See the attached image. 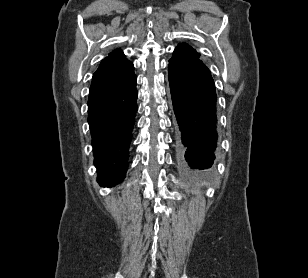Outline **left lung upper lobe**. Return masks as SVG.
Masks as SVG:
<instances>
[{"mask_svg": "<svg viewBox=\"0 0 308 278\" xmlns=\"http://www.w3.org/2000/svg\"><path fill=\"white\" fill-rule=\"evenodd\" d=\"M200 54L195 49L186 43L179 44L173 54V57L169 60L173 64H186L195 60H199Z\"/></svg>", "mask_w": 308, "mask_h": 278, "instance_id": "obj_1", "label": "left lung upper lobe"}]
</instances>
